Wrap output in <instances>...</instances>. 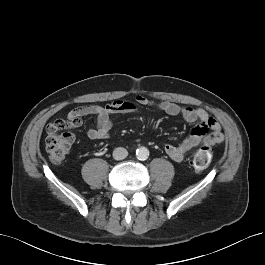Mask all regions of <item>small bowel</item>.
<instances>
[{
  "instance_id": "c3829d8e",
  "label": "small bowel",
  "mask_w": 265,
  "mask_h": 265,
  "mask_svg": "<svg viewBox=\"0 0 265 265\" xmlns=\"http://www.w3.org/2000/svg\"><path fill=\"white\" fill-rule=\"evenodd\" d=\"M139 106L156 108L169 116H180L187 123L199 122L189 136L179 144H166L165 153L175 162H181L186 154L202 143L217 144L223 141L219 123L211 117L204 109H194L190 106L178 105L171 102L154 103L144 96H138L136 103L127 101H115L106 106L86 105L72 109L67 118H69L73 127H79L82 123V117L96 116V124L89 128L87 136L92 140L105 139L113 127L112 115L136 113ZM207 132L210 135L207 136Z\"/></svg>"
}]
</instances>
